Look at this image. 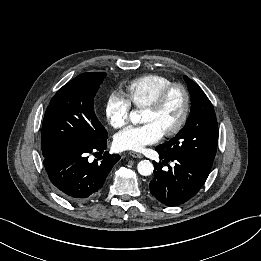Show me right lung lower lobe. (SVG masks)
<instances>
[{"label":"right lung lower lobe","instance_id":"1","mask_svg":"<svg viewBox=\"0 0 261 261\" xmlns=\"http://www.w3.org/2000/svg\"><path fill=\"white\" fill-rule=\"evenodd\" d=\"M107 136L91 145H76L44 157V166L49 179L65 199L71 202H86L94 198L103 187L106 178L120 159L106 151L100 161H88V155L106 149Z\"/></svg>","mask_w":261,"mask_h":261}]
</instances>
